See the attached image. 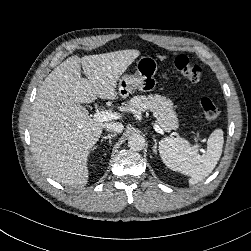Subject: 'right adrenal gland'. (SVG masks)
<instances>
[{
  "instance_id": "1",
  "label": "right adrenal gland",
  "mask_w": 251,
  "mask_h": 251,
  "mask_svg": "<svg viewBox=\"0 0 251 251\" xmlns=\"http://www.w3.org/2000/svg\"><path fill=\"white\" fill-rule=\"evenodd\" d=\"M116 136V133H114V134H108L107 136H104L102 139H101V142H103L104 140H106V139H109V143L111 144V139L113 138V137H115Z\"/></svg>"
}]
</instances>
